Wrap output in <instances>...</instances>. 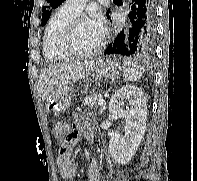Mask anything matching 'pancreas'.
<instances>
[{
    "instance_id": "obj_1",
    "label": "pancreas",
    "mask_w": 197,
    "mask_h": 181,
    "mask_svg": "<svg viewBox=\"0 0 197 181\" xmlns=\"http://www.w3.org/2000/svg\"><path fill=\"white\" fill-rule=\"evenodd\" d=\"M103 96L101 93H93L90 96H87L84 100H83V104L85 106H88L90 108H97L98 106V102L100 99H102Z\"/></svg>"
}]
</instances>
